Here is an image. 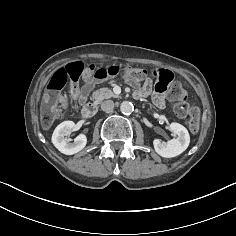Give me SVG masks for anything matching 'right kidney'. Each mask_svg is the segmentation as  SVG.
Listing matches in <instances>:
<instances>
[{"instance_id":"ca27d5eb","label":"right kidney","mask_w":236,"mask_h":236,"mask_svg":"<svg viewBox=\"0 0 236 236\" xmlns=\"http://www.w3.org/2000/svg\"><path fill=\"white\" fill-rule=\"evenodd\" d=\"M76 130H78V127L73 121H64L55 128L52 135V143L61 153L73 155L86 146L87 138L83 134L77 136L73 143L66 138L68 134Z\"/></svg>"}]
</instances>
